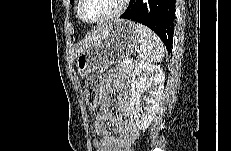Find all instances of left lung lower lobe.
Returning <instances> with one entry per match:
<instances>
[{
  "label": "left lung lower lobe",
  "mask_w": 231,
  "mask_h": 151,
  "mask_svg": "<svg viewBox=\"0 0 231 151\" xmlns=\"http://www.w3.org/2000/svg\"><path fill=\"white\" fill-rule=\"evenodd\" d=\"M120 18L152 29L170 52L174 33L175 0H134Z\"/></svg>",
  "instance_id": "1"
}]
</instances>
